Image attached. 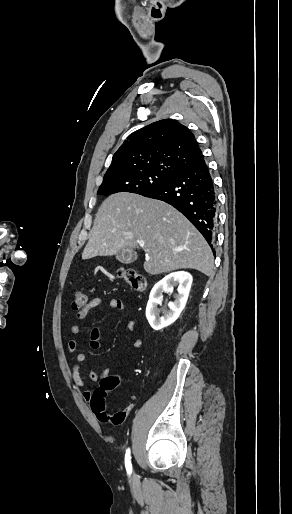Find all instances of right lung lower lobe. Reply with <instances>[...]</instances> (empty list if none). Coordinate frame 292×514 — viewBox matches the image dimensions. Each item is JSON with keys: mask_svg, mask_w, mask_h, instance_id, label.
I'll return each instance as SVG.
<instances>
[{"mask_svg": "<svg viewBox=\"0 0 292 514\" xmlns=\"http://www.w3.org/2000/svg\"><path fill=\"white\" fill-rule=\"evenodd\" d=\"M162 200L180 211L212 247L217 221V196L205 163L174 173L168 180L143 194Z\"/></svg>", "mask_w": 292, "mask_h": 514, "instance_id": "1", "label": "right lung lower lobe"}]
</instances>
